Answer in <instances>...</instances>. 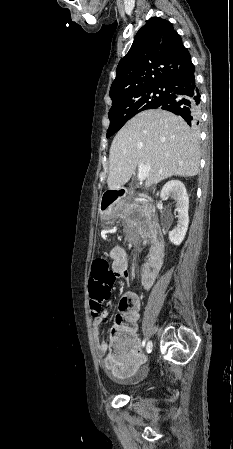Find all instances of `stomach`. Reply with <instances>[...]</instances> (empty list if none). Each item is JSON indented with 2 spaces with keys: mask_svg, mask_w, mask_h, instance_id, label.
I'll use <instances>...</instances> for the list:
<instances>
[{
  "mask_svg": "<svg viewBox=\"0 0 233 449\" xmlns=\"http://www.w3.org/2000/svg\"><path fill=\"white\" fill-rule=\"evenodd\" d=\"M101 215L105 219H113L117 217L121 212V207L118 203L115 206H109L107 209L100 208Z\"/></svg>",
  "mask_w": 233,
  "mask_h": 449,
  "instance_id": "obj_1",
  "label": "stomach"
}]
</instances>
